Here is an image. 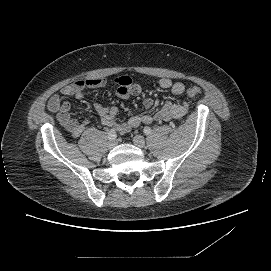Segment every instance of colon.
Here are the masks:
<instances>
[{"mask_svg":"<svg viewBox=\"0 0 271 271\" xmlns=\"http://www.w3.org/2000/svg\"><path fill=\"white\" fill-rule=\"evenodd\" d=\"M130 93L131 94H137L138 93V88L134 85H132L130 88ZM202 93L201 89L199 87H190L186 90L185 94L188 97H197L200 96Z\"/></svg>","mask_w":271,"mask_h":271,"instance_id":"1","label":"colon"}]
</instances>
